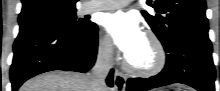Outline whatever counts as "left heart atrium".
<instances>
[{"mask_svg":"<svg viewBox=\"0 0 220 91\" xmlns=\"http://www.w3.org/2000/svg\"><path fill=\"white\" fill-rule=\"evenodd\" d=\"M103 28L115 46L128 57L144 39L138 20L125 12L109 13L102 21Z\"/></svg>","mask_w":220,"mask_h":91,"instance_id":"obj_1","label":"left heart atrium"}]
</instances>
